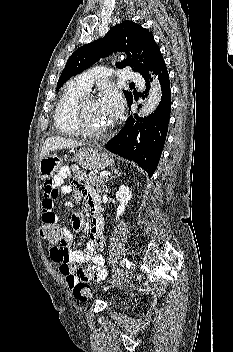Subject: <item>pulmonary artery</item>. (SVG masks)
I'll return each mask as SVG.
<instances>
[{
  "mask_svg": "<svg viewBox=\"0 0 233 352\" xmlns=\"http://www.w3.org/2000/svg\"><path fill=\"white\" fill-rule=\"evenodd\" d=\"M111 75V71L106 68H94L77 75L74 78V82L86 91H89L93 83L97 79L107 78ZM121 78L126 81H131L137 84L143 83V78L139 73L133 72L129 69H123L121 71Z\"/></svg>",
  "mask_w": 233,
  "mask_h": 352,
  "instance_id": "e3ab8cb5",
  "label": "pulmonary artery"
}]
</instances>
